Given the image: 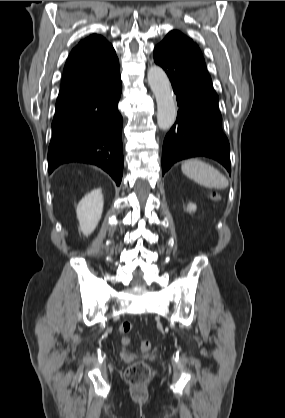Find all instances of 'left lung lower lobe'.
<instances>
[{
    "mask_svg": "<svg viewBox=\"0 0 285 418\" xmlns=\"http://www.w3.org/2000/svg\"><path fill=\"white\" fill-rule=\"evenodd\" d=\"M154 61L167 73L180 108L164 139L162 174L175 162L196 156L212 158L231 173L218 95L204 59L184 38L168 37L155 47Z\"/></svg>",
    "mask_w": 285,
    "mask_h": 418,
    "instance_id": "1",
    "label": "left lung lower lobe"
}]
</instances>
